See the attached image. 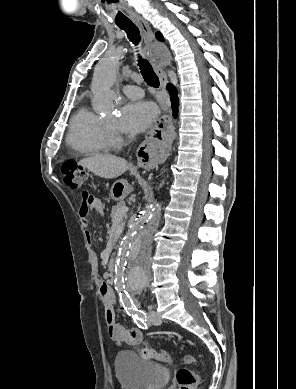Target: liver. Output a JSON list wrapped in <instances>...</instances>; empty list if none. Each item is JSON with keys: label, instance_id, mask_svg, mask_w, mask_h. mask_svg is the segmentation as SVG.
Returning a JSON list of instances; mask_svg holds the SVG:
<instances>
[{"label": "liver", "instance_id": "6515ba94", "mask_svg": "<svg viewBox=\"0 0 296 389\" xmlns=\"http://www.w3.org/2000/svg\"><path fill=\"white\" fill-rule=\"evenodd\" d=\"M78 165L106 179L117 178L129 169V164L125 159L101 154L84 158L78 162Z\"/></svg>", "mask_w": 296, "mask_h": 389}]
</instances>
